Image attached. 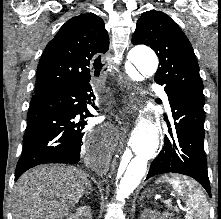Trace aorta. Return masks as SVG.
Wrapping results in <instances>:
<instances>
[{
  "label": "aorta",
  "mask_w": 221,
  "mask_h": 219,
  "mask_svg": "<svg viewBox=\"0 0 221 219\" xmlns=\"http://www.w3.org/2000/svg\"><path fill=\"white\" fill-rule=\"evenodd\" d=\"M128 60L141 74L153 75L158 67V58L146 46L130 50ZM159 124L148 118L138 123L133 139L132 152L126 151L114 172L115 198L119 202L128 199L146 174L147 162L159 146Z\"/></svg>",
  "instance_id": "762f6f07"
}]
</instances>
